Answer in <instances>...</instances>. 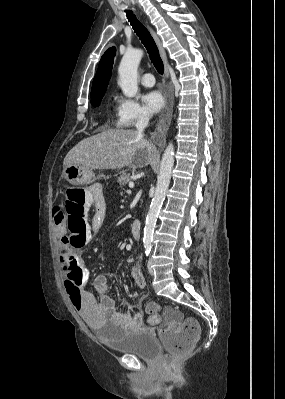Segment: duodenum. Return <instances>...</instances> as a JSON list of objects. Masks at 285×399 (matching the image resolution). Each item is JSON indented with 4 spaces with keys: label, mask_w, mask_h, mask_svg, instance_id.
Returning a JSON list of instances; mask_svg holds the SVG:
<instances>
[{
    "label": "duodenum",
    "mask_w": 285,
    "mask_h": 399,
    "mask_svg": "<svg viewBox=\"0 0 285 399\" xmlns=\"http://www.w3.org/2000/svg\"><path fill=\"white\" fill-rule=\"evenodd\" d=\"M131 233H132L134 240L139 241L141 239L142 226H141V222L139 220H135L131 224Z\"/></svg>",
    "instance_id": "1"
}]
</instances>
